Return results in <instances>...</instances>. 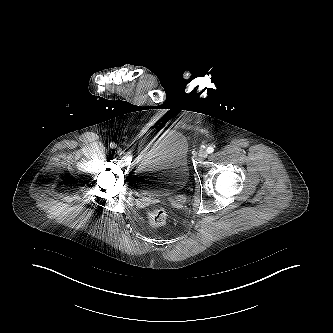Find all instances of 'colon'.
Returning <instances> with one entry per match:
<instances>
[{
  "instance_id": "5ec220e1",
  "label": "colon",
  "mask_w": 333,
  "mask_h": 333,
  "mask_svg": "<svg viewBox=\"0 0 333 333\" xmlns=\"http://www.w3.org/2000/svg\"><path fill=\"white\" fill-rule=\"evenodd\" d=\"M169 218L168 211L163 207L150 210L147 214V221L152 227L164 226Z\"/></svg>"
}]
</instances>
